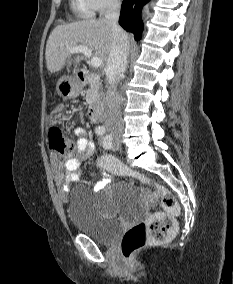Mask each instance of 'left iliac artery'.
Segmentation results:
<instances>
[{
	"label": "left iliac artery",
	"instance_id": "1",
	"mask_svg": "<svg viewBox=\"0 0 233 284\" xmlns=\"http://www.w3.org/2000/svg\"><path fill=\"white\" fill-rule=\"evenodd\" d=\"M111 140H112V137L111 135H107L105 138H104V141H103V146L107 149L111 148Z\"/></svg>",
	"mask_w": 233,
	"mask_h": 284
}]
</instances>
